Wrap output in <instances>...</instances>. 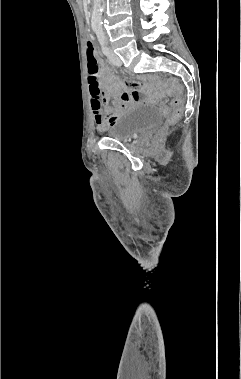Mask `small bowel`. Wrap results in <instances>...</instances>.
Returning <instances> with one entry per match:
<instances>
[{
    "instance_id": "obj_1",
    "label": "small bowel",
    "mask_w": 241,
    "mask_h": 379,
    "mask_svg": "<svg viewBox=\"0 0 241 379\" xmlns=\"http://www.w3.org/2000/svg\"><path fill=\"white\" fill-rule=\"evenodd\" d=\"M99 77L98 87L101 86L103 89L89 90L93 120L100 129L107 125H118L120 114L128 110L131 105L140 102L154 103L158 99L156 95H149L142 100L137 90L143 87L141 83L136 81L124 83L112 76L104 66L101 67Z\"/></svg>"
}]
</instances>
